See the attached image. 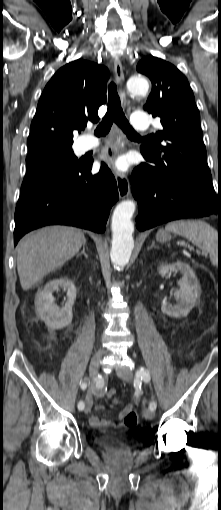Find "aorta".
I'll return each mask as SVG.
<instances>
[{"instance_id": "1", "label": "aorta", "mask_w": 221, "mask_h": 510, "mask_svg": "<svg viewBox=\"0 0 221 510\" xmlns=\"http://www.w3.org/2000/svg\"><path fill=\"white\" fill-rule=\"evenodd\" d=\"M127 89L132 95L147 93L149 83L141 75H135L128 79ZM135 203L131 200L121 201L112 215V248L111 261L115 266L124 267L131 257L134 248V227L131 218L135 212Z\"/></svg>"}]
</instances>
